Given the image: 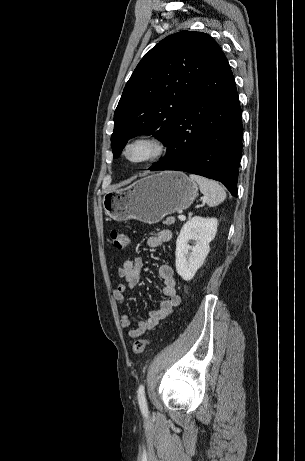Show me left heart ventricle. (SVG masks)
Masks as SVG:
<instances>
[{
	"mask_svg": "<svg viewBox=\"0 0 305 461\" xmlns=\"http://www.w3.org/2000/svg\"><path fill=\"white\" fill-rule=\"evenodd\" d=\"M148 152L149 148L147 146L138 144L129 149L128 156L133 160H137L147 155Z\"/></svg>",
	"mask_w": 305,
	"mask_h": 461,
	"instance_id": "1",
	"label": "left heart ventricle"
}]
</instances>
